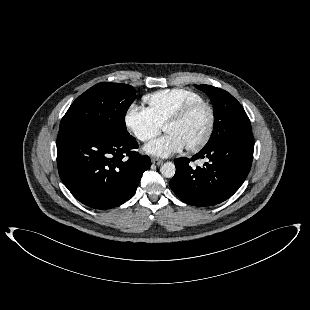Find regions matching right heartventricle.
Segmentation results:
<instances>
[{
	"mask_svg": "<svg viewBox=\"0 0 310 310\" xmlns=\"http://www.w3.org/2000/svg\"><path fill=\"white\" fill-rule=\"evenodd\" d=\"M201 100L197 92L182 88L159 90L143 97L146 109L161 126L186 105Z\"/></svg>",
	"mask_w": 310,
	"mask_h": 310,
	"instance_id": "e07e8e85",
	"label": "right heart ventricle"
}]
</instances>
